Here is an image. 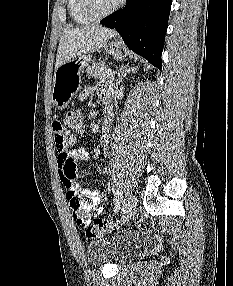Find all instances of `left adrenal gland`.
<instances>
[{"mask_svg": "<svg viewBox=\"0 0 233 286\" xmlns=\"http://www.w3.org/2000/svg\"><path fill=\"white\" fill-rule=\"evenodd\" d=\"M138 69V66L137 67H132L130 68L128 65H122L121 68L118 70L117 72V75H118V79L116 80V86H118L123 78L128 74L130 73L131 71L134 72Z\"/></svg>", "mask_w": 233, "mask_h": 286, "instance_id": "left-adrenal-gland-1", "label": "left adrenal gland"}]
</instances>
